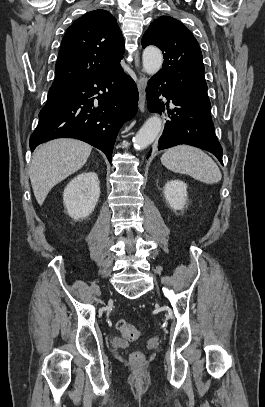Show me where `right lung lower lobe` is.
Returning a JSON list of instances; mask_svg holds the SVG:
<instances>
[{"label": "right lung lower lobe", "mask_w": 265, "mask_h": 407, "mask_svg": "<svg viewBox=\"0 0 265 407\" xmlns=\"http://www.w3.org/2000/svg\"><path fill=\"white\" fill-rule=\"evenodd\" d=\"M138 91L121 67L101 72L48 97L30 137V149L48 140L80 139L103 151L111 162L122 124L137 111Z\"/></svg>", "instance_id": "1"}]
</instances>
